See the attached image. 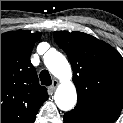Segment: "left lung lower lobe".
Listing matches in <instances>:
<instances>
[{
  "label": "left lung lower lobe",
  "instance_id": "0a47b994",
  "mask_svg": "<svg viewBox=\"0 0 123 123\" xmlns=\"http://www.w3.org/2000/svg\"><path fill=\"white\" fill-rule=\"evenodd\" d=\"M115 119L113 115L80 104L64 115V123H113Z\"/></svg>",
  "mask_w": 123,
  "mask_h": 123
}]
</instances>
